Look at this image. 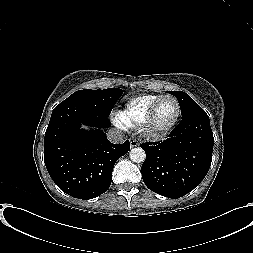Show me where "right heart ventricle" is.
Listing matches in <instances>:
<instances>
[{"label":"right heart ventricle","mask_w":253,"mask_h":253,"mask_svg":"<svg viewBox=\"0 0 253 253\" xmlns=\"http://www.w3.org/2000/svg\"><path fill=\"white\" fill-rule=\"evenodd\" d=\"M162 95L144 94L131 99L123 110L117 114V122L128 128H136L143 124L150 108Z\"/></svg>","instance_id":"obj_1"}]
</instances>
